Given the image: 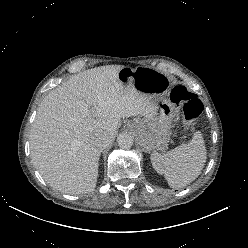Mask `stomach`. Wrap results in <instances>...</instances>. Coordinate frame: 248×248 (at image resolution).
Returning a JSON list of instances; mask_svg holds the SVG:
<instances>
[{"mask_svg": "<svg viewBox=\"0 0 248 248\" xmlns=\"http://www.w3.org/2000/svg\"><path fill=\"white\" fill-rule=\"evenodd\" d=\"M119 81L126 85L133 83L136 90L154 96V111L150 117L134 120L130 129L135 133L138 144L145 151L165 145L169 140L174 108L166 100L169 78L166 74L150 67L136 69L124 67L118 72Z\"/></svg>", "mask_w": 248, "mask_h": 248, "instance_id": "obj_1", "label": "stomach"}]
</instances>
